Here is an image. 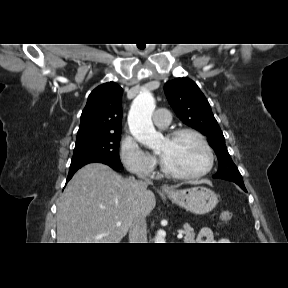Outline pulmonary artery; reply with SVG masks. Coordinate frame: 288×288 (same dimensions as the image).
I'll return each mask as SVG.
<instances>
[{
  "mask_svg": "<svg viewBox=\"0 0 288 288\" xmlns=\"http://www.w3.org/2000/svg\"><path fill=\"white\" fill-rule=\"evenodd\" d=\"M154 124L159 128H165L170 124L171 114L165 109H158L154 115Z\"/></svg>",
  "mask_w": 288,
  "mask_h": 288,
  "instance_id": "obj_1",
  "label": "pulmonary artery"
}]
</instances>
